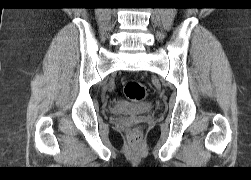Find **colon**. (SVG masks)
Segmentation results:
<instances>
[{"label":"colon","mask_w":251,"mask_h":180,"mask_svg":"<svg viewBox=\"0 0 251 180\" xmlns=\"http://www.w3.org/2000/svg\"><path fill=\"white\" fill-rule=\"evenodd\" d=\"M123 92L127 99L134 102L142 101L147 95L145 85L137 80L127 81L124 84ZM129 137L132 142H137L139 140V135L136 131H131Z\"/></svg>","instance_id":"obj_1"}]
</instances>
